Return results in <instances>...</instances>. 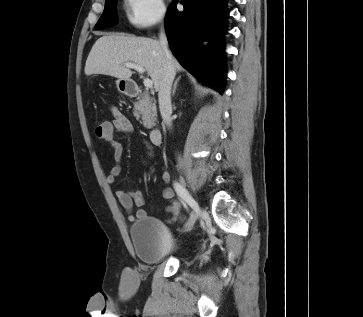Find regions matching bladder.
Segmentation results:
<instances>
[{
    "mask_svg": "<svg viewBox=\"0 0 363 317\" xmlns=\"http://www.w3.org/2000/svg\"><path fill=\"white\" fill-rule=\"evenodd\" d=\"M129 235L138 258L144 264L159 263L177 250L168 228L152 217L135 221Z\"/></svg>",
    "mask_w": 363,
    "mask_h": 317,
    "instance_id": "obj_1",
    "label": "bladder"
}]
</instances>
